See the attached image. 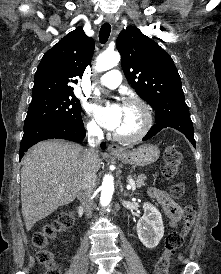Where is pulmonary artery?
<instances>
[{
  "mask_svg": "<svg viewBox=\"0 0 221 274\" xmlns=\"http://www.w3.org/2000/svg\"><path fill=\"white\" fill-rule=\"evenodd\" d=\"M99 83L107 88L115 89L121 83V73L118 70H111L100 78Z\"/></svg>",
  "mask_w": 221,
  "mask_h": 274,
  "instance_id": "1",
  "label": "pulmonary artery"
}]
</instances>
